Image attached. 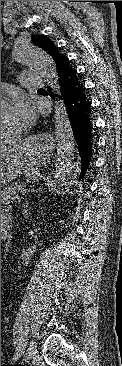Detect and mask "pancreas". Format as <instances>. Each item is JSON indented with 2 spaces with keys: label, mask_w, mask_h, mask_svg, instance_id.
<instances>
[{
  "label": "pancreas",
  "mask_w": 122,
  "mask_h": 366,
  "mask_svg": "<svg viewBox=\"0 0 122 366\" xmlns=\"http://www.w3.org/2000/svg\"><path fill=\"white\" fill-rule=\"evenodd\" d=\"M24 190V185L17 183L5 187L3 190H1V202L5 204L10 203V200L16 199L18 192L23 193Z\"/></svg>",
  "instance_id": "obj_1"
}]
</instances>
